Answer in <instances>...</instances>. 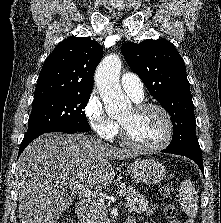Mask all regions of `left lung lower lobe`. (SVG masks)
Returning a JSON list of instances; mask_svg holds the SVG:
<instances>
[{
  "instance_id": "obj_1",
  "label": "left lung lower lobe",
  "mask_w": 221,
  "mask_h": 223,
  "mask_svg": "<svg viewBox=\"0 0 221 223\" xmlns=\"http://www.w3.org/2000/svg\"><path fill=\"white\" fill-rule=\"evenodd\" d=\"M161 152L183 155L192 159L199 166L204 175L202 154L199 146L167 147Z\"/></svg>"
}]
</instances>
